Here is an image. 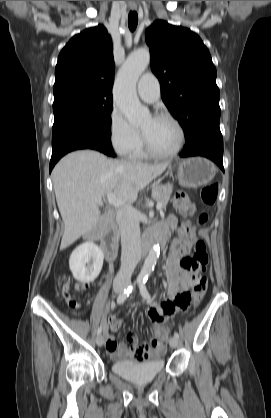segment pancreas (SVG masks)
Wrapping results in <instances>:
<instances>
[{"instance_id": "1", "label": "pancreas", "mask_w": 271, "mask_h": 418, "mask_svg": "<svg viewBox=\"0 0 271 418\" xmlns=\"http://www.w3.org/2000/svg\"><path fill=\"white\" fill-rule=\"evenodd\" d=\"M172 194V185H158L152 189V197L155 201L160 202L162 207H166Z\"/></svg>"}]
</instances>
